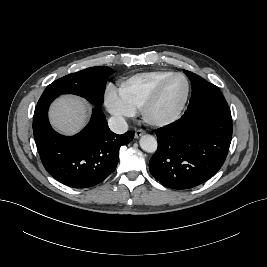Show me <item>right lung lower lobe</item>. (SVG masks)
Masks as SVG:
<instances>
[{"instance_id":"1","label":"right lung lower lobe","mask_w":267,"mask_h":267,"mask_svg":"<svg viewBox=\"0 0 267 267\" xmlns=\"http://www.w3.org/2000/svg\"><path fill=\"white\" fill-rule=\"evenodd\" d=\"M43 93L34 112L33 131L41 161L47 172L59 182L74 188L101 183L116 168L119 148L134 138V132L113 133L104 114L93 109L89 124L75 136L55 132L48 121L50 103L58 97Z\"/></svg>"}]
</instances>
